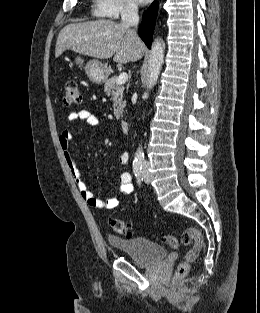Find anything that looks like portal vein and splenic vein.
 <instances>
[{
	"label": "portal vein and splenic vein",
	"instance_id": "18ae733b",
	"mask_svg": "<svg viewBox=\"0 0 260 313\" xmlns=\"http://www.w3.org/2000/svg\"><path fill=\"white\" fill-rule=\"evenodd\" d=\"M127 79H128L127 73L122 72V73L118 76V78L116 79V84H117V85H122V84H124V83L127 81Z\"/></svg>",
	"mask_w": 260,
	"mask_h": 313
}]
</instances>
